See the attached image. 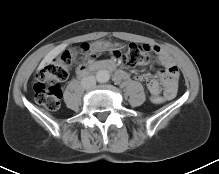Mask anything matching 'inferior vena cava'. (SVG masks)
Here are the masks:
<instances>
[{
	"mask_svg": "<svg viewBox=\"0 0 219 174\" xmlns=\"http://www.w3.org/2000/svg\"><path fill=\"white\" fill-rule=\"evenodd\" d=\"M81 85L84 89H93L96 86V78L94 76H87L82 78Z\"/></svg>",
	"mask_w": 219,
	"mask_h": 174,
	"instance_id": "602c4592",
	"label": "inferior vena cava"
}]
</instances>
